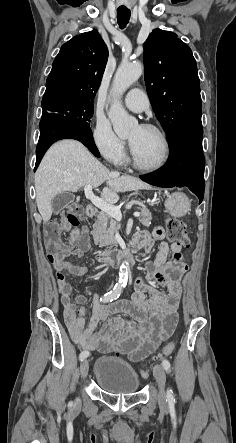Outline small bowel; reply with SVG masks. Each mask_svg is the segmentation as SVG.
Segmentation results:
<instances>
[{
	"label": "small bowel",
	"instance_id": "obj_1",
	"mask_svg": "<svg viewBox=\"0 0 236 443\" xmlns=\"http://www.w3.org/2000/svg\"><path fill=\"white\" fill-rule=\"evenodd\" d=\"M162 228L154 229L153 237L141 232L133 239L136 249L150 251L154 241H159V251L155 260L147 264L145 276H139L135 282V291L131 302L120 301L111 306L96 302L93 294V306L83 307L87 298L83 295L73 297L74 287L67 281V275L83 276L87 267L67 261L52 259L55 281L63 316L73 341L83 350L98 349L104 352L109 347H124L132 360L139 361L147 357L156 346L167 340L175 331L178 315L177 307L181 296L180 278L188 270L182 261L181 246L168 245L163 240ZM66 254L82 259L90 251L89 230L73 229L68 243L61 244ZM171 251L173 260H168ZM156 280L167 292L153 290L149 281ZM121 313L129 314L134 322L125 321ZM90 314L86 321L84 315ZM109 319L99 331L98 326Z\"/></svg>",
	"mask_w": 236,
	"mask_h": 443
}]
</instances>
